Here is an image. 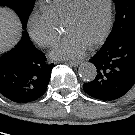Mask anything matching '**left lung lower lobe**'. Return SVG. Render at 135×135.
<instances>
[{"label": "left lung lower lobe", "mask_w": 135, "mask_h": 135, "mask_svg": "<svg viewBox=\"0 0 135 135\" xmlns=\"http://www.w3.org/2000/svg\"><path fill=\"white\" fill-rule=\"evenodd\" d=\"M90 62L96 66L97 76L83 84L88 95L104 101L125 95L135 84V28L125 36L106 41Z\"/></svg>", "instance_id": "1"}]
</instances>
